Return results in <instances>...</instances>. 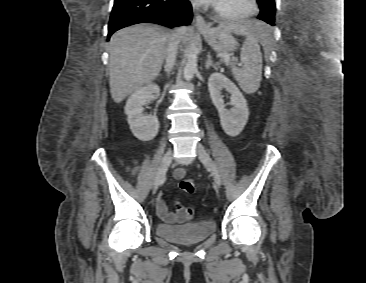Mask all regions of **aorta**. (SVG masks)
<instances>
[{
    "label": "aorta",
    "mask_w": 366,
    "mask_h": 283,
    "mask_svg": "<svg viewBox=\"0 0 366 283\" xmlns=\"http://www.w3.org/2000/svg\"><path fill=\"white\" fill-rule=\"evenodd\" d=\"M198 49L194 44L191 45L187 54V62L183 70V76L186 81H190L197 71Z\"/></svg>",
    "instance_id": "obj_1"
}]
</instances>
